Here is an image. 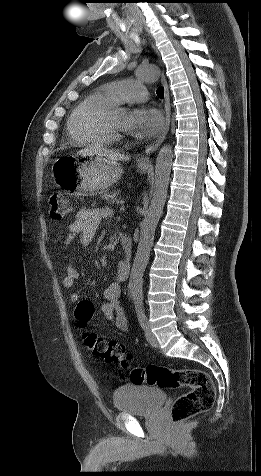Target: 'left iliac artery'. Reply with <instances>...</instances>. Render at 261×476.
Masks as SVG:
<instances>
[{
	"instance_id": "left-iliac-artery-1",
	"label": "left iliac artery",
	"mask_w": 261,
	"mask_h": 476,
	"mask_svg": "<svg viewBox=\"0 0 261 476\" xmlns=\"http://www.w3.org/2000/svg\"><path fill=\"white\" fill-rule=\"evenodd\" d=\"M136 313H137L138 321H139L141 327L143 329H145L148 321H147V317L145 315V312H144V309H143L142 305H137L136 306Z\"/></svg>"
}]
</instances>
